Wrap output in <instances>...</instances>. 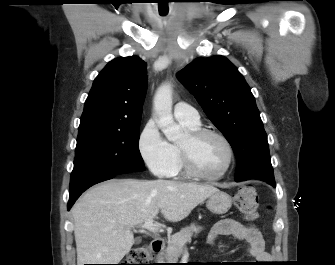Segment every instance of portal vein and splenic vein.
<instances>
[{
    "label": "portal vein and splenic vein",
    "instance_id": "1",
    "mask_svg": "<svg viewBox=\"0 0 335 265\" xmlns=\"http://www.w3.org/2000/svg\"><path fill=\"white\" fill-rule=\"evenodd\" d=\"M140 227H141L142 230H148V231H151V232L161 231L160 227L158 226L157 223H154L153 219H148Z\"/></svg>",
    "mask_w": 335,
    "mask_h": 265
}]
</instances>
